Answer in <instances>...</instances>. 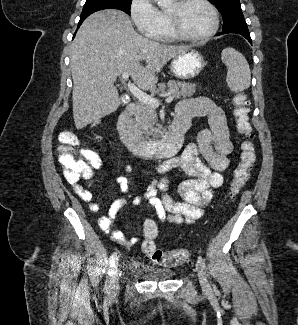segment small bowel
<instances>
[{
  "label": "small bowel",
  "mask_w": 298,
  "mask_h": 325,
  "mask_svg": "<svg viewBox=\"0 0 298 325\" xmlns=\"http://www.w3.org/2000/svg\"><path fill=\"white\" fill-rule=\"evenodd\" d=\"M195 104L201 111V116H207L210 128L198 133L197 141L189 144L184 151L159 166L162 175L161 180L151 184L142 197H135L133 204L138 205L144 199L148 205L154 208L160 222L182 223L194 222L203 215L204 207L213 197L215 189L224 183L223 172L230 164L229 155L233 150L227 119L224 111L205 98L186 100ZM173 168H181L189 177L178 185V192L182 201H174L167 193L168 180L165 176ZM126 175L117 178L121 191L129 192L133 179L132 167L126 165ZM92 182L88 178L86 187L79 184L73 185L75 193L85 202L92 213H98L100 206L93 201ZM158 191L162 193L158 197ZM126 200H115L106 215L100 217L98 225L101 230L110 235L115 243L131 247L137 242V238L128 239L118 230H113L114 220L117 214L125 207Z\"/></svg>",
  "instance_id": "small-bowel-1"
}]
</instances>
